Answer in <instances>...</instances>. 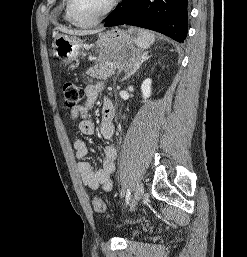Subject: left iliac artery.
I'll return each instance as SVG.
<instances>
[{"mask_svg": "<svg viewBox=\"0 0 247 257\" xmlns=\"http://www.w3.org/2000/svg\"><path fill=\"white\" fill-rule=\"evenodd\" d=\"M131 199V191L130 189H127V192H126V204H129V201Z\"/></svg>", "mask_w": 247, "mask_h": 257, "instance_id": "left-iliac-artery-1", "label": "left iliac artery"}]
</instances>
